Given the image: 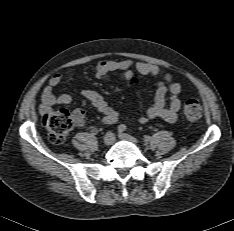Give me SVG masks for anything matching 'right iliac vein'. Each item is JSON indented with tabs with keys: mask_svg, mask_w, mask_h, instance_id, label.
<instances>
[{
	"mask_svg": "<svg viewBox=\"0 0 234 231\" xmlns=\"http://www.w3.org/2000/svg\"><path fill=\"white\" fill-rule=\"evenodd\" d=\"M104 144L110 146L115 141V135L112 132H107L103 138Z\"/></svg>",
	"mask_w": 234,
	"mask_h": 231,
	"instance_id": "right-iliac-vein-1",
	"label": "right iliac vein"
}]
</instances>
